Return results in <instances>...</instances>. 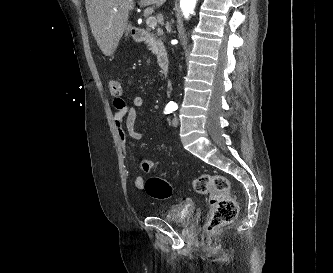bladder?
<instances>
[{"mask_svg":"<svg viewBox=\"0 0 333 273\" xmlns=\"http://www.w3.org/2000/svg\"><path fill=\"white\" fill-rule=\"evenodd\" d=\"M194 209L192 204L186 202H178L169 205L165 213L164 219L173 224H186L193 218Z\"/></svg>","mask_w":333,"mask_h":273,"instance_id":"obj_1","label":"bladder"}]
</instances>
